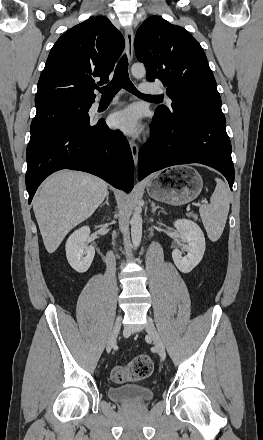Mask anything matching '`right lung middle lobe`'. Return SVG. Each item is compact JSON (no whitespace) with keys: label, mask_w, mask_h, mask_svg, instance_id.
I'll return each instance as SVG.
<instances>
[{"label":"right lung middle lobe","mask_w":263,"mask_h":440,"mask_svg":"<svg viewBox=\"0 0 263 440\" xmlns=\"http://www.w3.org/2000/svg\"><path fill=\"white\" fill-rule=\"evenodd\" d=\"M92 103L59 102L37 108L31 123L30 141L39 139L62 126L89 122V108Z\"/></svg>","instance_id":"1"}]
</instances>
